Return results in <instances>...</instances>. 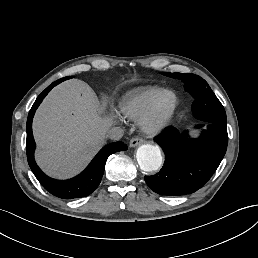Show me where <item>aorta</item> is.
<instances>
[{
	"label": "aorta",
	"mask_w": 258,
	"mask_h": 258,
	"mask_svg": "<svg viewBox=\"0 0 258 258\" xmlns=\"http://www.w3.org/2000/svg\"><path fill=\"white\" fill-rule=\"evenodd\" d=\"M139 167L147 172L156 171L162 164V155L158 146L145 144L136 152Z\"/></svg>",
	"instance_id": "aorta-1"
}]
</instances>
